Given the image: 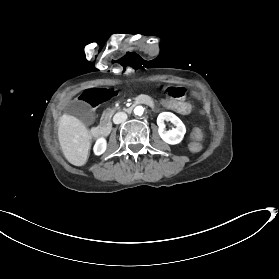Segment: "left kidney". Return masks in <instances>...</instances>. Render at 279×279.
Returning <instances> with one entry per match:
<instances>
[{
  "label": "left kidney",
  "instance_id": "5707ae66",
  "mask_svg": "<svg viewBox=\"0 0 279 279\" xmlns=\"http://www.w3.org/2000/svg\"><path fill=\"white\" fill-rule=\"evenodd\" d=\"M164 121L171 122L176 128L170 130L164 129ZM157 124L159 126L158 133L161 139L170 145H176L182 142L186 133L184 123L173 113L163 112L158 115Z\"/></svg>",
  "mask_w": 279,
  "mask_h": 279
}]
</instances>
